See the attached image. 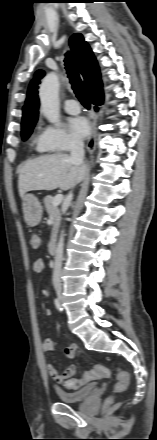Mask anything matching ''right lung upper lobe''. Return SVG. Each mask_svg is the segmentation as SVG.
I'll return each mask as SVG.
<instances>
[{
  "instance_id": "right-lung-upper-lobe-1",
  "label": "right lung upper lobe",
  "mask_w": 157,
  "mask_h": 440,
  "mask_svg": "<svg viewBox=\"0 0 157 440\" xmlns=\"http://www.w3.org/2000/svg\"><path fill=\"white\" fill-rule=\"evenodd\" d=\"M70 46L75 55L79 70L84 77L90 97L103 96L100 71L89 45L81 34L76 33L70 38ZM43 76V71H37L30 83L26 103L23 107L22 125L37 121L39 107L37 89L39 80Z\"/></svg>"
}]
</instances>
